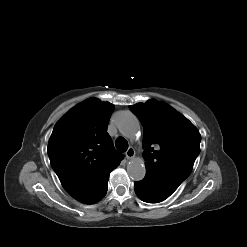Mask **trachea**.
I'll return each mask as SVG.
<instances>
[{
    "label": "trachea",
    "instance_id": "1",
    "mask_svg": "<svg viewBox=\"0 0 247 247\" xmlns=\"http://www.w3.org/2000/svg\"><path fill=\"white\" fill-rule=\"evenodd\" d=\"M115 146L120 152H125L128 149V142L125 138L118 137Z\"/></svg>",
    "mask_w": 247,
    "mask_h": 247
}]
</instances>
